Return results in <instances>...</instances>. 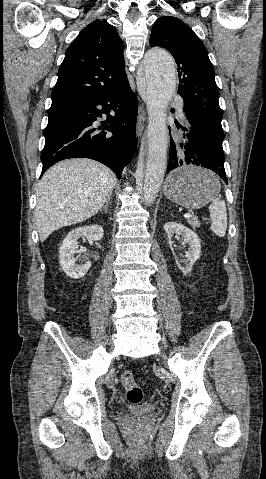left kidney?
I'll return each mask as SVG.
<instances>
[{"mask_svg": "<svg viewBox=\"0 0 266 479\" xmlns=\"http://www.w3.org/2000/svg\"><path fill=\"white\" fill-rule=\"evenodd\" d=\"M164 230L167 234L169 243H171V239L174 235H179L182 236L184 238V242L188 244V251L185 254V266H179V269L183 272L184 275L189 274L192 270L193 264L200 257V239L192 230L175 222L166 223L164 225Z\"/></svg>", "mask_w": 266, "mask_h": 479, "instance_id": "1", "label": "left kidney"}]
</instances>
